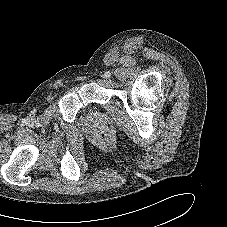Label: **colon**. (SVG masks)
<instances>
[{
  "mask_svg": "<svg viewBox=\"0 0 227 227\" xmlns=\"http://www.w3.org/2000/svg\"><path fill=\"white\" fill-rule=\"evenodd\" d=\"M98 140L101 143H107L109 141V135L107 133L102 132L98 135Z\"/></svg>",
  "mask_w": 227,
  "mask_h": 227,
  "instance_id": "obj_1",
  "label": "colon"
}]
</instances>
